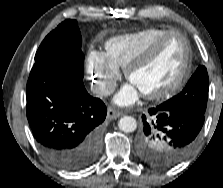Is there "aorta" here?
<instances>
[{"instance_id": "aorta-1", "label": "aorta", "mask_w": 223, "mask_h": 188, "mask_svg": "<svg viewBox=\"0 0 223 188\" xmlns=\"http://www.w3.org/2000/svg\"><path fill=\"white\" fill-rule=\"evenodd\" d=\"M119 129L125 133L134 132L137 128V122L135 118L131 116H124L119 120Z\"/></svg>"}]
</instances>
